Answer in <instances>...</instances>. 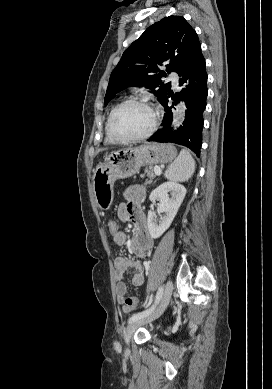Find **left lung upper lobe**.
<instances>
[{
	"instance_id": "left-lung-upper-lobe-1",
	"label": "left lung upper lobe",
	"mask_w": 272,
	"mask_h": 389,
	"mask_svg": "<svg viewBox=\"0 0 272 389\" xmlns=\"http://www.w3.org/2000/svg\"><path fill=\"white\" fill-rule=\"evenodd\" d=\"M199 47L196 31L183 17L169 16L151 25L128 47L112 71L105 105L129 86H145L162 103L171 85L161 78L172 71L179 74ZM163 62H167L166 72L159 69Z\"/></svg>"
}]
</instances>
